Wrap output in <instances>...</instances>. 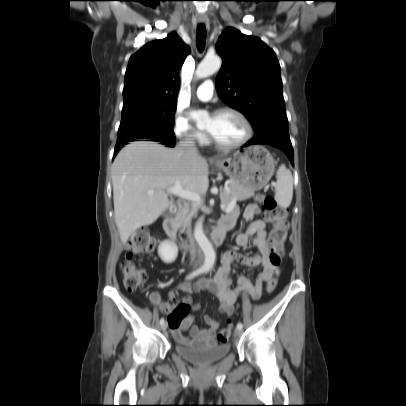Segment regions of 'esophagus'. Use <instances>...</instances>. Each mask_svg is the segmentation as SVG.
Listing matches in <instances>:
<instances>
[{
	"label": "esophagus",
	"instance_id": "obj_1",
	"mask_svg": "<svg viewBox=\"0 0 406 406\" xmlns=\"http://www.w3.org/2000/svg\"><path fill=\"white\" fill-rule=\"evenodd\" d=\"M199 22H200V23H206V22H207V19H206V18H200V19H199Z\"/></svg>",
	"mask_w": 406,
	"mask_h": 406
}]
</instances>
